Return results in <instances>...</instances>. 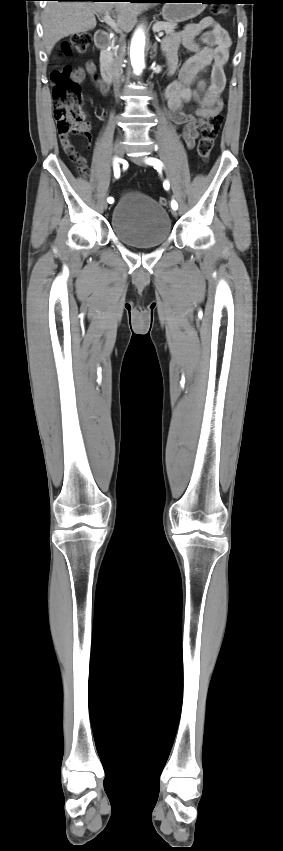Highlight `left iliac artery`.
<instances>
[{
  "label": "left iliac artery",
  "mask_w": 283,
  "mask_h": 851,
  "mask_svg": "<svg viewBox=\"0 0 283 851\" xmlns=\"http://www.w3.org/2000/svg\"><path fill=\"white\" fill-rule=\"evenodd\" d=\"M146 162H147L149 165L154 166V168H158V167H161V166H162V162H161L160 160L156 159V158H148V159H146ZM163 186H164V189L169 190L170 185H169V182H168V181H165V182H164V184H163ZM171 207H172V209H174V210H176V209L178 208V204H177V202H176L175 200H172V202H171Z\"/></svg>",
  "instance_id": "44dca946"
}]
</instances>
